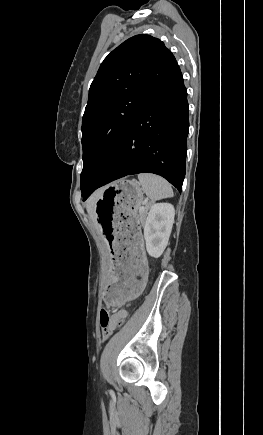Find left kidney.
<instances>
[{
	"label": "left kidney",
	"mask_w": 263,
	"mask_h": 435,
	"mask_svg": "<svg viewBox=\"0 0 263 435\" xmlns=\"http://www.w3.org/2000/svg\"><path fill=\"white\" fill-rule=\"evenodd\" d=\"M174 206L169 203H154L144 224L146 250L154 258L164 252L174 223Z\"/></svg>",
	"instance_id": "5707ae66"
}]
</instances>
